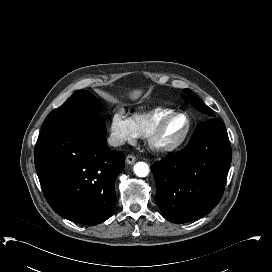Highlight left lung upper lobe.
Wrapping results in <instances>:
<instances>
[{"instance_id": "left-lung-upper-lobe-1", "label": "left lung upper lobe", "mask_w": 272, "mask_h": 272, "mask_svg": "<svg viewBox=\"0 0 272 272\" xmlns=\"http://www.w3.org/2000/svg\"><path fill=\"white\" fill-rule=\"evenodd\" d=\"M187 96L182 95V97L188 102V100H190V102L192 103V105L199 111L206 113L208 115L211 116H215L213 111L204 104V102L194 93L192 92L190 89H184L183 90Z\"/></svg>"}]
</instances>
